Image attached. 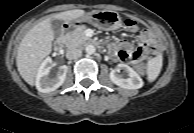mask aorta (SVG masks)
I'll list each match as a JSON object with an SVG mask.
<instances>
[{
	"label": "aorta",
	"instance_id": "1",
	"mask_svg": "<svg viewBox=\"0 0 194 133\" xmlns=\"http://www.w3.org/2000/svg\"><path fill=\"white\" fill-rule=\"evenodd\" d=\"M85 51L87 54H93L95 52V47L93 45H87L85 48Z\"/></svg>",
	"mask_w": 194,
	"mask_h": 133
}]
</instances>
